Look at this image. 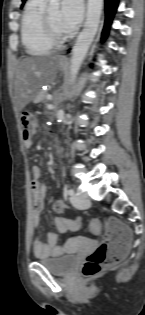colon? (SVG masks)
<instances>
[{
    "label": "colon",
    "mask_w": 145,
    "mask_h": 315,
    "mask_svg": "<svg viewBox=\"0 0 145 315\" xmlns=\"http://www.w3.org/2000/svg\"><path fill=\"white\" fill-rule=\"evenodd\" d=\"M24 140L33 137L36 131V120L31 112H23L20 116ZM91 233L97 234L100 223L91 220L88 224ZM132 241L129 227L118 219L110 218L107 222L105 237L97 249L91 253L82 266V274L92 277L103 270L118 264L127 253Z\"/></svg>",
    "instance_id": "obj_1"
}]
</instances>
